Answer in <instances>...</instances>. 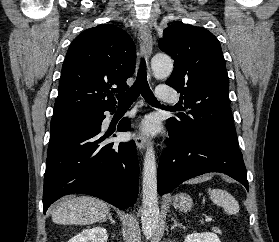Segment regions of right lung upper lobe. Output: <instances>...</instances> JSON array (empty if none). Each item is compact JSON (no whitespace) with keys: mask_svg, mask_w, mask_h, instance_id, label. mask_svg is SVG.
Masks as SVG:
<instances>
[{"mask_svg":"<svg viewBox=\"0 0 279 242\" xmlns=\"http://www.w3.org/2000/svg\"><path fill=\"white\" fill-rule=\"evenodd\" d=\"M135 63L134 42L123 29L101 24L85 30L67 51L53 117L115 109L112 94L129 87Z\"/></svg>","mask_w":279,"mask_h":242,"instance_id":"obj_1","label":"right lung upper lobe"}]
</instances>
